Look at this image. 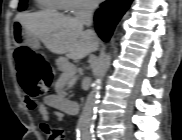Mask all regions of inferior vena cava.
Masks as SVG:
<instances>
[{
    "label": "inferior vena cava",
    "instance_id": "obj_1",
    "mask_svg": "<svg viewBox=\"0 0 182 140\" xmlns=\"http://www.w3.org/2000/svg\"><path fill=\"white\" fill-rule=\"evenodd\" d=\"M98 6L97 1L95 0H82L79 6V11L76 15L77 21L82 23L83 25H86L87 27H90L92 25V17L93 13L96 10ZM93 38H96V34L92 30H88Z\"/></svg>",
    "mask_w": 182,
    "mask_h": 140
}]
</instances>
